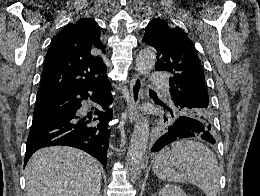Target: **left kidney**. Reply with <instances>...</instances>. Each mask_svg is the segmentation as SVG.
I'll return each mask as SVG.
<instances>
[{"mask_svg":"<svg viewBox=\"0 0 260 196\" xmlns=\"http://www.w3.org/2000/svg\"><path fill=\"white\" fill-rule=\"evenodd\" d=\"M158 196H186L185 192L178 188V186H171V184H166L159 192Z\"/></svg>","mask_w":260,"mask_h":196,"instance_id":"5707ae66","label":"left kidney"}]
</instances>
